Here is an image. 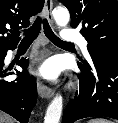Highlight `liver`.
Returning a JSON list of instances; mask_svg holds the SVG:
<instances>
[{
  "label": "liver",
  "mask_w": 118,
  "mask_h": 123,
  "mask_svg": "<svg viewBox=\"0 0 118 123\" xmlns=\"http://www.w3.org/2000/svg\"><path fill=\"white\" fill-rule=\"evenodd\" d=\"M0 123H13L10 116L0 111Z\"/></svg>",
  "instance_id": "obj_1"
}]
</instances>
